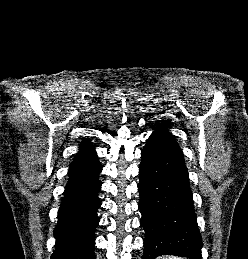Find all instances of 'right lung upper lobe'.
I'll list each match as a JSON object with an SVG mask.
<instances>
[{
  "label": "right lung upper lobe",
  "mask_w": 248,
  "mask_h": 259,
  "mask_svg": "<svg viewBox=\"0 0 248 259\" xmlns=\"http://www.w3.org/2000/svg\"><path fill=\"white\" fill-rule=\"evenodd\" d=\"M94 153L95 151L93 149L91 142L89 140H83V142L81 143V148L79 149V152L75 159L85 158Z\"/></svg>",
  "instance_id": "right-lung-upper-lobe-1"
}]
</instances>
